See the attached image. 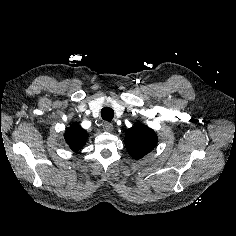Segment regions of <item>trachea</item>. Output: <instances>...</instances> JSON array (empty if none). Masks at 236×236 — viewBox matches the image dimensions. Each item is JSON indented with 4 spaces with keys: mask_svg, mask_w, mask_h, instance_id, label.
Wrapping results in <instances>:
<instances>
[{
    "mask_svg": "<svg viewBox=\"0 0 236 236\" xmlns=\"http://www.w3.org/2000/svg\"><path fill=\"white\" fill-rule=\"evenodd\" d=\"M101 117L103 120H106L108 122H111L114 117V111L112 108L104 107L101 110Z\"/></svg>",
    "mask_w": 236,
    "mask_h": 236,
    "instance_id": "obj_1",
    "label": "trachea"
}]
</instances>
